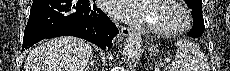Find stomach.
I'll use <instances>...</instances> for the list:
<instances>
[{"label":"stomach","mask_w":230,"mask_h":71,"mask_svg":"<svg viewBox=\"0 0 230 71\" xmlns=\"http://www.w3.org/2000/svg\"><path fill=\"white\" fill-rule=\"evenodd\" d=\"M149 51H150V54H151V55H156V53H158V50H157L156 47H151V48L149 49Z\"/></svg>","instance_id":"stomach-1"}]
</instances>
